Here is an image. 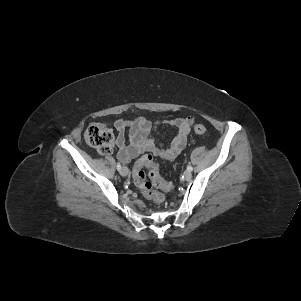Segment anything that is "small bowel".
I'll use <instances>...</instances> for the list:
<instances>
[{"instance_id": "small-bowel-1", "label": "small bowel", "mask_w": 301, "mask_h": 301, "mask_svg": "<svg viewBox=\"0 0 301 301\" xmlns=\"http://www.w3.org/2000/svg\"><path fill=\"white\" fill-rule=\"evenodd\" d=\"M194 118L180 117L170 121L151 122L144 117L133 121L118 119L113 122L117 131L115 144L118 148V159L127 164L141 154H152L165 160L174 159L186 146ZM160 125H169L177 129V135L169 145L156 142L152 133Z\"/></svg>"}]
</instances>
